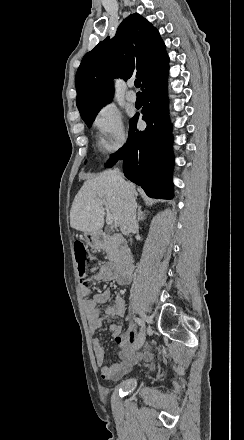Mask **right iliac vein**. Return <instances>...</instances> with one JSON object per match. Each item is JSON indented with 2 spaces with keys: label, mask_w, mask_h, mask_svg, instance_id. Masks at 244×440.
Segmentation results:
<instances>
[{
  "label": "right iliac vein",
  "mask_w": 244,
  "mask_h": 440,
  "mask_svg": "<svg viewBox=\"0 0 244 440\" xmlns=\"http://www.w3.org/2000/svg\"><path fill=\"white\" fill-rule=\"evenodd\" d=\"M139 313H140V316H141L143 322H147V323L150 322L149 317L146 316V314L142 310L139 309ZM144 329L145 328H142L140 330L139 336L136 339V341L134 342V345H133V349L134 350H138L139 348H141L143 346L144 342H145V331H144Z\"/></svg>",
  "instance_id": "obj_1"
}]
</instances>
